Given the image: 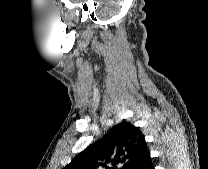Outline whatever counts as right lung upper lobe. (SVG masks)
Wrapping results in <instances>:
<instances>
[{
  "instance_id": "1",
  "label": "right lung upper lobe",
  "mask_w": 208,
  "mask_h": 169,
  "mask_svg": "<svg viewBox=\"0 0 208 169\" xmlns=\"http://www.w3.org/2000/svg\"><path fill=\"white\" fill-rule=\"evenodd\" d=\"M149 159L150 152L139 128L121 122L64 169H141Z\"/></svg>"
}]
</instances>
